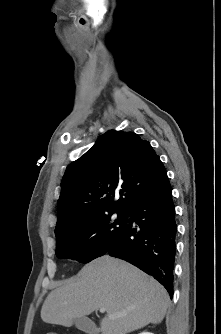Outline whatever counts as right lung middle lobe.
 <instances>
[{
  "mask_svg": "<svg viewBox=\"0 0 221 334\" xmlns=\"http://www.w3.org/2000/svg\"><path fill=\"white\" fill-rule=\"evenodd\" d=\"M110 212L69 227L56 238V255L88 263L105 254L120 238L126 227L128 212H117L113 220Z\"/></svg>",
  "mask_w": 221,
  "mask_h": 334,
  "instance_id": "1",
  "label": "right lung middle lobe"
}]
</instances>
